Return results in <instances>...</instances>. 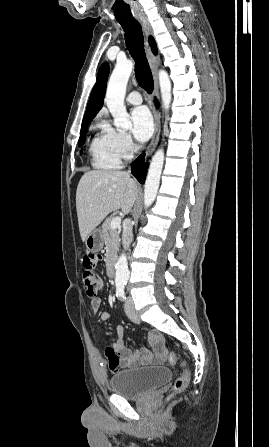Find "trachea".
<instances>
[{
  "instance_id": "trachea-1",
  "label": "trachea",
  "mask_w": 269,
  "mask_h": 447,
  "mask_svg": "<svg viewBox=\"0 0 269 447\" xmlns=\"http://www.w3.org/2000/svg\"><path fill=\"white\" fill-rule=\"evenodd\" d=\"M125 31V43L135 61V76L140 87L148 93L154 89L153 76L145 55L142 28L137 20L119 22Z\"/></svg>"
}]
</instances>
